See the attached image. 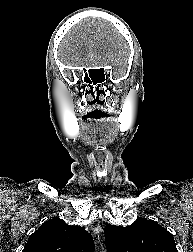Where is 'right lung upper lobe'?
Segmentation results:
<instances>
[{
  "label": "right lung upper lobe",
  "instance_id": "cb5924a9",
  "mask_svg": "<svg viewBox=\"0 0 193 252\" xmlns=\"http://www.w3.org/2000/svg\"><path fill=\"white\" fill-rule=\"evenodd\" d=\"M22 252H94V241L84 228L55 217L31 234Z\"/></svg>",
  "mask_w": 193,
  "mask_h": 252
}]
</instances>
